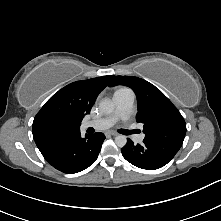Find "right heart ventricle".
<instances>
[{
    "label": "right heart ventricle",
    "instance_id": "1",
    "mask_svg": "<svg viewBox=\"0 0 221 221\" xmlns=\"http://www.w3.org/2000/svg\"><path fill=\"white\" fill-rule=\"evenodd\" d=\"M125 91H129V89L126 87H121V88L117 89L115 93H120V92H125Z\"/></svg>",
    "mask_w": 221,
    "mask_h": 221
}]
</instances>
